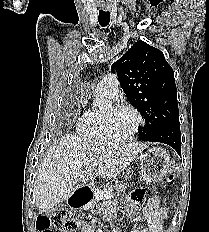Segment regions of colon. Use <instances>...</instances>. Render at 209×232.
Here are the masks:
<instances>
[{"instance_id":"obj_1","label":"colon","mask_w":209,"mask_h":232,"mask_svg":"<svg viewBox=\"0 0 209 232\" xmlns=\"http://www.w3.org/2000/svg\"><path fill=\"white\" fill-rule=\"evenodd\" d=\"M173 179L174 174L171 173L168 182L172 183ZM52 227L59 232H77L79 223L64 208L57 207L39 215L36 219V228L39 232H52Z\"/></svg>"}]
</instances>
